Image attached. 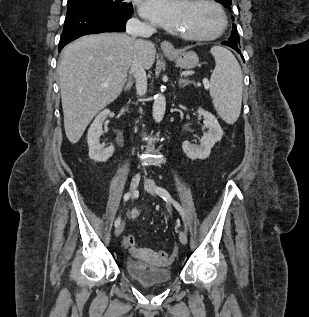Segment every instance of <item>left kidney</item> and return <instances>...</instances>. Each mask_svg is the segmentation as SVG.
<instances>
[{
  "label": "left kidney",
  "mask_w": 309,
  "mask_h": 317,
  "mask_svg": "<svg viewBox=\"0 0 309 317\" xmlns=\"http://www.w3.org/2000/svg\"><path fill=\"white\" fill-rule=\"evenodd\" d=\"M197 113L204 118V125L208 131L200 140V145L191 144L189 141H184L182 144L183 151L192 160L206 159L209 157L211 148L216 142L220 141L223 136V130L214 115L203 109H198Z\"/></svg>",
  "instance_id": "obj_1"
}]
</instances>
